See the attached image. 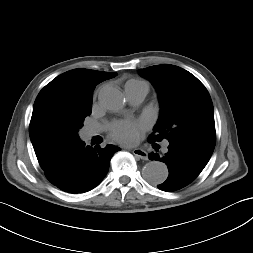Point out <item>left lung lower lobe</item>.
Here are the masks:
<instances>
[{
    "mask_svg": "<svg viewBox=\"0 0 253 253\" xmlns=\"http://www.w3.org/2000/svg\"><path fill=\"white\" fill-rule=\"evenodd\" d=\"M213 150L214 147L201 143L175 140L169 141L168 152L165 156L150 153L149 158L151 160L161 161L168 165L169 176L165 182L157 187L160 190L170 192L187 186L204 169Z\"/></svg>",
    "mask_w": 253,
    "mask_h": 253,
    "instance_id": "1",
    "label": "left lung lower lobe"
}]
</instances>
